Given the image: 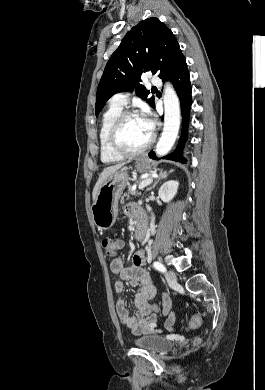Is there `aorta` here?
<instances>
[{"mask_svg": "<svg viewBox=\"0 0 265 390\" xmlns=\"http://www.w3.org/2000/svg\"><path fill=\"white\" fill-rule=\"evenodd\" d=\"M164 128L156 145L158 156L166 155L174 145L180 126V104L177 94L170 83L164 87Z\"/></svg>", "mask_w": 265, "mask_h": 390, "instance_id": "762f6f07", "label": "aorta"}]
</instances>
